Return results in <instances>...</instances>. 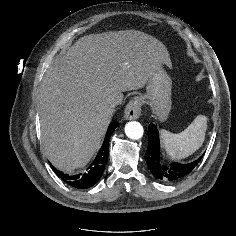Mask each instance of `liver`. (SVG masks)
<instances>
[{
  "label": "liver",
  "instance_id": "liver-1",
  "mask_svg": "<svg viewBox=\"0 0 236 236\" xmlns=\"http://www.w3.org/2000/svg\"><path fill=\"white\" fill-rule=\"evenodd\" d=\"M167 48L136 30L81 37L46 71L39 92L42 144L49 161L71 173L99 148L123 93L143 88Z\"/></svg>",
  "mask_w": 236,
  "mask_h": 236
}]
</instances>
